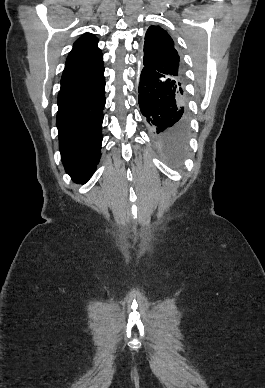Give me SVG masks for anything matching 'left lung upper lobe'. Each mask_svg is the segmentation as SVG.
Returning a JSON list of instances; mask_svg holds the SVG:
<instances>
[{"label":"left lung upper lobe","mask_w":265,"mask_h":388,"mask_svg":"<svg viewBox=\"0 0 265 388\" xmlns=\"http://www.w3.org/2000/svg\"><path fill=\"white\" fill-rule=\"evenodd\" d=\"M143 66L163 73L182 84L184 73L170 35L159 26H150L145 35ZM186 99V92L184 95Z\"/></svg>","instance_id":"obj_1"}]
</instances>
